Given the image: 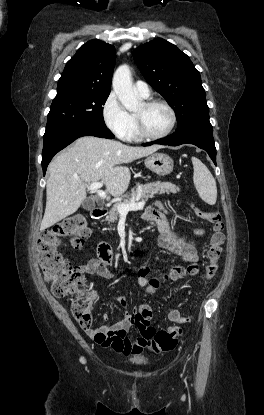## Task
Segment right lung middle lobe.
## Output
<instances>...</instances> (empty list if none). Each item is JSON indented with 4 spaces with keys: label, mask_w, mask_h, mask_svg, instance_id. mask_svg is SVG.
Returning <instances> with one entry per match:
<instances>
[{
    "label": "right lung middle lobe",
    "mask_w": 264,
    "mask_h": 415,
    "mask_svg": "<svg viewBox=\"0 0 264 415\" xmlns=\"http://www.w3.org/2000/svg\"><path fill=\"white\" fill-rule=\"evenodd\" d=\"M108 96V93L56 95L47 116L44 137L78 125H105L102 105Z\"/></svg>",
    "instance_id": "1"
}]
</instances>
